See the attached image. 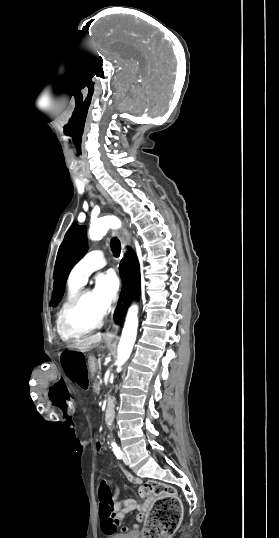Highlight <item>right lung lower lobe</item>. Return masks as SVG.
Instances as JSON below:
<instances>
[{
	"label": "right lung lower lobe",
	"instance_id": "obj_1",
	"mask_svg": "<svg viewBox=\"0 0 279 538\" xmlns=\"http://www.w3.org/2000/svg\"><path fill=\"white\" fill-rule=\"evenodd\" d=\"M120 274L123 280V290L115 312V319L118 323L122 321L124 309L128 307L131 299L140 295L139 263L131 252L121 261Z\"/></svg>",
	"mask_w": 279,
	"mask_h": 538
}]
</instances>
